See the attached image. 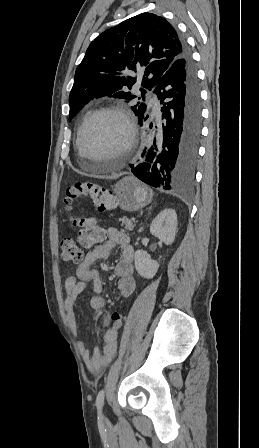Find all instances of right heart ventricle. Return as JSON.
<instances>
[{"label": "right heart ventricle", "mask_w": 259, "mask_h": 448, "mask_svg": "<svg viewBox=\"0 0 259 448\" xmlns=\"http://www.w3.org/2000/svg\"><path fill=\"white\" fill-rule=\"evenodd\" d=\"M93 111H88L86 114H85V116H84V118H83V121L92 113ZM83 123V122H82ZM79 129H80V127L78 128V130H77V133H76V138H75V149H77V134H78V131H79Z\"/></svg>", "instance_id": "e07e8e85"}]
</instances>
